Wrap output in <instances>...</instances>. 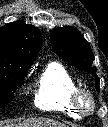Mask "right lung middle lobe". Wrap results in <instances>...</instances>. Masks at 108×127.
Returning a JSON list of instances; mask_svg holds the SVG:
<instances>
[{"instance_id": "dd1d6c3e", "label": "right lung middle lobe", "mask_w": 108, "mask_h": 127, "mask_svg": "<svg viewBox=\"0 0 108 127\" xmlns=\"http://www.w3.org/2000/svg\"><path fill=\"white\" fill-rule=\"evenodd\" d=\"M30 66L14 59L0 57V107L13 99L14 92L22 85Z\"/></svg>"}]
</instances>
